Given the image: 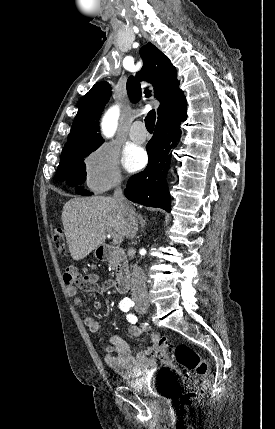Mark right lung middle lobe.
Returning a JSON list of instances; mask_svg holds the SVG:
<instances>
[{
  "label": "right lung middle lobe",
  "instance_id": "dd1d6c3e",
  "mask_svg": "<svg viewBox=\"0 0 275 429\" xmlns=\"http://www.w3.org/2000/svg\"><path fill=\"white\" fill-rule=\"evenodd\" d=\"M91 152L92 151L83 153L81 155L62 157L60 159V164L54 179L59 181L66 180L67 184L71 187L82 184L86 179L85 164L83 163V159ZM77 193L82 195H91L90 192L83 190L82 188H77Z\"/></svg>",
  "mask_w": 275,
  "mask_h": 429
}]
</instances>
